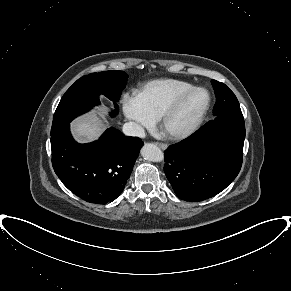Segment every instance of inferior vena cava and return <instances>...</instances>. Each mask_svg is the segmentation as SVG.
<instances>
[{
	"mask_svg": "<svg viewBox=\"0 0 291 291\" xmlns=\"http://www.w3.org/2000/svg\"><path fill=\"white\" fill-rule=\"evenodd\" d=\"M123 133L128 136L145 137V131L142 126L135 122H127L123 125Z\"/></svg>",
	"mask_w": 291,
	"mask_h": 291,
	"instance_id": "inferior-vena-cava-1",
	"label": "inferior vena cava"
}]
</instances>
